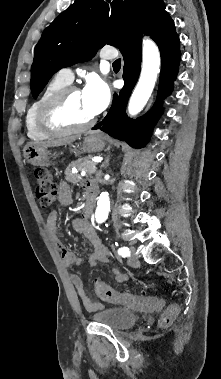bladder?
<instances>
[{"mask_svg":"<svg viewBox=\"0 0 221 379\" xmlns=\"http://www.w3.org/2000/svg\"><path fill=\"white\" fill-rule=\"evenodd\" d=\"M92 320L105 324L115 330H126L131 328L137 321V316L120 307H110L99 310L92 314Z\"/></svg>","mask_w":221,"mask_h":379,"instance_id":"1","label":"bladder"}]
</instances>
